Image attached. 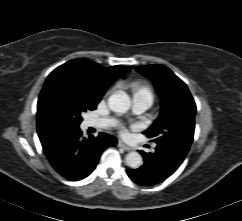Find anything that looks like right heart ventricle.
I'll list each match as a JSON object with an SVG mask.
<instances>
[{"label": "right heart ventricle", "mask_w": 242, "mask_h": 221, "mask_svg": "<svg viewBox=\"0 0 242 221\" xmlns=\"http://www.w3.org/2000/svg\"><path fill=\"white\" fill-rule=\"evenodd\" d=\"M133 96L148 97L153 101V93L151 88L141 81H135L132 83Z\"/></svg>", "instance_id": "e07e8e85"}]
</instances>
